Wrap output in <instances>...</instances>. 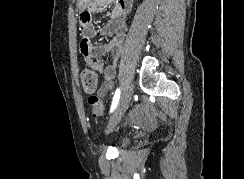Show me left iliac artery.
Here are the masks:
<instances>
[{
	"mask_svg": "<svg viewBox=\"0 0 244 179\" xmlns=\"http://www.w3.org/2000/svg\"><path fill=\"white\" fill-rule=\"evenodd\" d=\"M119 99H120V89H117L115 91V94H114V97H113V101H112L110 112H113L114 109L117 107Z\"/></svg>",
	"mask_w": 244,
	"mask_h": 179,
	"instance_id": "obj_1",
	"label": "left iliac artery"
}]
</instances>
